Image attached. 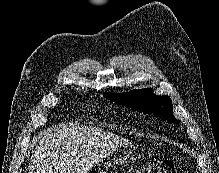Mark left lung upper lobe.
Returning <instances> with one entry per match:
<instances>
[{
    "label": "left lung upper lobe",
    "instance_id": "1",
    "mask_svg": "<svg viewBox=\"0 0 219 173\" xmlns=\"http://www.w3.org/2000/svg\"><path fill=\"white\" fill-rule=\"evenodd\" d=\"M104 96L117 104L146 114H154L168 122L178 123L172 113V101L169 96H156L151 88L133 90L125 94L106 93Z\"/></svg>",
    "mask_w": 219,
    "mask_h": 173
}]
</instances>
